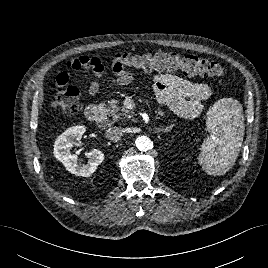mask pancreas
<instances>
[{
    "label": "pancreas",
    "instance_id": "obj_1",
    "mask_svg": "<svg viewBox=\"0 0 268 268\" xmlns=\"http://www.w3.org/2000/svg\"><path fill=\"white\" fill-rule=\"evenodd\" d=\"M106 106L114 121H118L122 116L130 117L133 114V112L125 109L124 107L118 106L117 100L108 101Z\"/></svg>",
    "mask_w": 268,
    "mask_h": 268
}]
</instances>
